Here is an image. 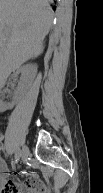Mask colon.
<instances>
[{"mask_svg": "<svg viewBox=\"0 0 103 193\" xmlns=\"http://www.w3.org/2000/svg\"><path fill=\"white\" fill-rule=\"evenodd\" d=\"M18 190L20 191V193H26V189H25V187H23V186H20V187L18 188Z\"/></svg>", "mask_w": 103, "mask_h": 193, "instance_id": "colon-1", "label": "colon"}]
</instances>
